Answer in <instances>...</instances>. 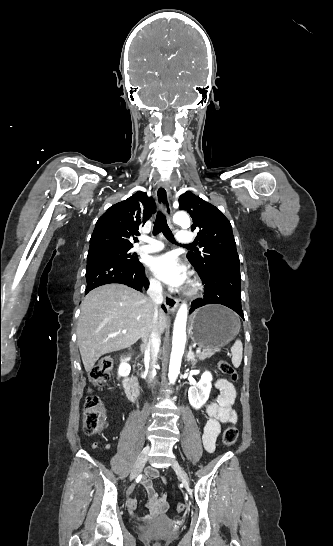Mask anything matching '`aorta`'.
<instances>
[{
  "label": "aorta",
  "instance_id": "obj_1",
  "mask_svg": "<svg viewBox=\"0 0 333 546\" xmlns=\"http://www.w3.org/2000/svg\"><path fill=\"white\" fill-rule=\"evenodd\" d=\"M173 222L184 228L190 226V218L186 212H177L173 216ZM187 314V305L183 303L177 312L174 323L172 352L168 373L170 383H175L180 373L181 360L184 354V348L186 343Z\"/></svg>",
  "mask_w": 333,
  "mask_h": 546
}]
</instances>
